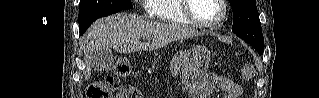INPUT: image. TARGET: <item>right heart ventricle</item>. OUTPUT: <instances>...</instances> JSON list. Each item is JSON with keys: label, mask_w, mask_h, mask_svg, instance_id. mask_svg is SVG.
<instances>
[{"label": "right heart ventricle", "mask_w": 319, "mask_h": 98, "mask_svg": "<svg viewBox=\"0 0 319 98\" xmlns=\"http://www.w3.org/2000/svg\"><path fill=\"white\" fill-rule=\"evenodd\" d=\"M148 13L164 22L190 25L181 9V0H146Z\"/></svg>", "instance_id": "obj_1"}]
</instances>
